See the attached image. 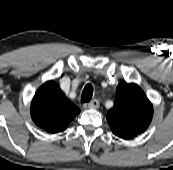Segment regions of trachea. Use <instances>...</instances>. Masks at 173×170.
I'll return each instance as SVG.
<instances>
[{"instance_id":"trachea-1","label":"trachea","mask_w":173,"mask_h":170,"mask_svg":"<svg viewBox=\"0 0 173 170\" xmlns=\"http://www.w3.org/2000/svg\"><path fill=\"white\" fill-rule=\"evenodd\" d=\"M92 96H93V87L90 83L86 84L82 92L81 101L83 103L90 102Z\"/></svg>"}]
</instances>
